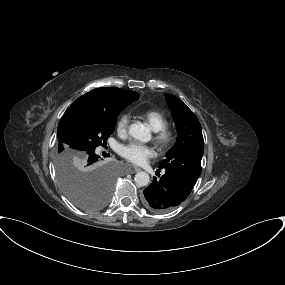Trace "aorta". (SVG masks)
Segmentation results:
<instances>
[{
  "label": "aorta",
  "mask_w": 285,
  "mask_h": 285,
  "mask_svg": "<svg viewBox=\"0 0 285 285\" xmlns=\"http://www.w3.org/2000/svg\"><path fill=\"white\" fill-rule=\"evenodd\" d=\"M129 134L141 141V142H148L151 139L150 128L147 125L141 123H134L131 124L129 127ZM150 177L146 172H138L135 175V182L138 186H146L149 184Z\"/></svg>",
  "instance_id": "aorta-1"
}]
</instances>
